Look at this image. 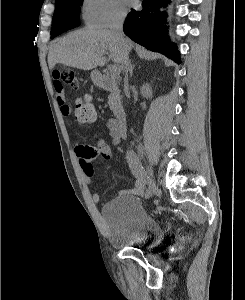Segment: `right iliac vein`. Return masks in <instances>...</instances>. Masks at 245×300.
<instances>
[{"mask_svg": "<svg viewBox=\"0 0 245 300\" xmlns=\"http://www.w3.org/2000/svg\"><path fill=\"white\" fill-rule=\"evenodd\" d=\"M140 157L145 161L143 153L140 154ZM146 167H147V175L149 177V186H154V190L156 192L158 190V187L156 185V182H155V179L153 176V171L148 164L146 165Z\"/></svg>", "mask_w": 245, "mask_h": 300, "instance_id": "obj_1", "label": "right iliac vein"}]
</instances>
